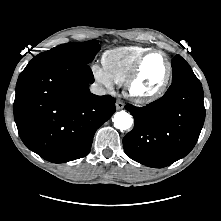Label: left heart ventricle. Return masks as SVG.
<instances>
[{
	"mask_svg": "<svg viewBox=\"0 0 221 221\" xmlns=\"http://www.w3.org/2000/svg\"><path fill=\"white\" fill-rule=\"evenodd\" d=\"M167 72V63L163 55L154 53L143 63L136 83V90L141 93L155 91L162 83Z\"/></svg>",
	"mask_w": 221,
	"mask_h": 221,
	"instance_id": "b2bd125f",
	"label": "left heart ventricle"
}]
</instances>
